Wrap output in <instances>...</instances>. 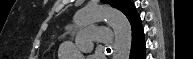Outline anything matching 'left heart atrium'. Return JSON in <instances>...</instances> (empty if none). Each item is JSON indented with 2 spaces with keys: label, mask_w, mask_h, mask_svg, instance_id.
I'll return each mask as SVG.
<instances>
[{
  "label": "left heart atrium",
  "mask_w": 193,
  "mask_h": 59,
  "mask_svg": "<svg viewBox=\"0 0 193 59\" xmlns=\"http://www.w3.org/2000/svg\"><path fill=\"white\" fill-rule=\"evenodd\" d=\"M87 59H100L96 55H89Z\"/></svg>",
  "instance_id": "1"
}]
</instances>
